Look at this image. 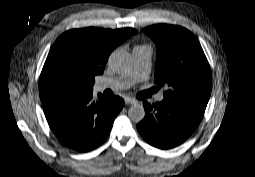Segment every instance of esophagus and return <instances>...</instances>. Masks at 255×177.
<instances>
[{"label":"esophagus","instance_id":"obj_1","mask_svg":"<svg viewBox=\"0 0 255 177\" xmlns=\"http://www.w3.org/2000/svg\"><path fill=\"white\" fill-rule=\"evenodd\" d=\"M136 103H138V101L135 100L134 98H131V97L125 98V104H136Z\"/></svg>","mask_w":255,"mask_h":177}]
</instances>
